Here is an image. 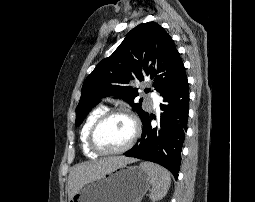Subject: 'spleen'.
<instances>
[{
  "label": "spleen",
  "instance_id": "obj_1",
  "mask_svg": "<svg viewBox=\"0 0 255 202\" xmlns=\"http://www.w3.org/2000/svg\"><path fill=\"white\" fill-rule=\"evenodd\" d=\"M140 168L151 178L150 199L153 201L162 199L167 194L171 184L170 173L163 167L150 162L141 163Z\"/></svg>",
  "mask_w": 255,
  "mask_h": 202
}]
</instances>
